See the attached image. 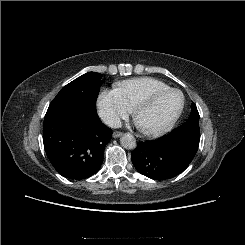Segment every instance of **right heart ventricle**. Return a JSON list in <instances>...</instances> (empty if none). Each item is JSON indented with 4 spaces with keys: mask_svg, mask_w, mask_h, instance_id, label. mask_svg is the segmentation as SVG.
<instances>
[{
    "mask_svg": "<svg viewBox=\"0 0 245 245\" xmlns=\"http://www.w3.org/2000/svg\"><path fill=\"white\" fill-rule=\"evenodd\" d=\"M167 88L166 83L152 77L132 78L115 84V90L130 108L142 97Z\"/></svg>",
    "mask_w": 245,
    "mask_h": 245,
    "instance_id": "1",
    "label": "right heart ventricle"
}]
</instances>
